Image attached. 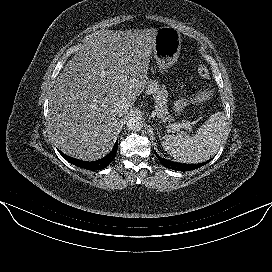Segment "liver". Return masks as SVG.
<instances>
[{
  "instance_id": "liver-1",
  "label": "liver",
  "mask_w": 272,
  "mask_h": 272,
  "mask_svg": "<svg viewBox=\"0 0 272 272\" xmlns=\"http://www.w3.org/2000/svg\"><path fill=\"white\" fill-rule=\"evenodd\" d=\"M156 33L154 28L96 31L67 62L48 113L63 153L93 161L109 152L117 135L113 106L117 101L133 105L146 88Z\"/></svg>"
}]
</instances>
